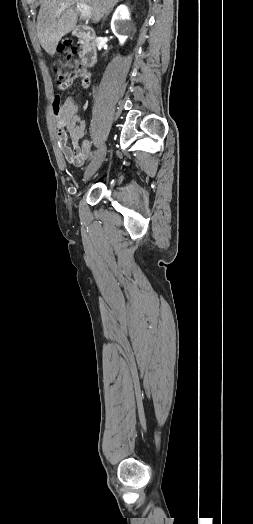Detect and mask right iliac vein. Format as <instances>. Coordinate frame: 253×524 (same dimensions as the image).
Instances as JSON below:
<instances>
[{
    "mask_svg": "<svg viewBox=\"0 0 253 524\" xmlns=\"http://www.w3.org/2000/svg\"><path fill=\"white\" fill-rule=\"evenodd\" d=\"M106 156V145H102L96 152L94 158L85 172V181L89 180L101 166Z\"/></svg>",
    "mask_w": 253,
    "mask_h": 524,
    "instance_id": "63e3f726",
    "label": "right iliac vein"
}]
</instances>
